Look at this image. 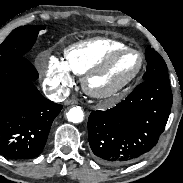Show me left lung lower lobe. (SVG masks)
I'll return each instance as SVG.
<instances>
[{
	"mask_svg": "<svg viewBox=\"0 0 183 183\" xmlns=\"http://www.w3.org/2000/svg\"><path fill=\"white\" fill-rule=\"evenodd\" d=\"M172 105L169 81L149 80L106 111H93L88 139L93 157L108 166L134 162L149 153L165 129Z\"/></svg>",
	"mask_w": 183,
	"mask_h": 183,
	"instance_id": "left-lung-lower-lobe-1",
	"label": "left lung lower lobe"
}]
</instances>
